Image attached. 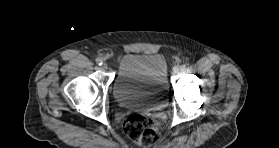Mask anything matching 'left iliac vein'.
Listing matches in <instances>:
<instances>
[{
  "mask_svg": "<svg viewBox=\"0 0 279 148\" xmlns=\"http://www.w3.org/2000/svg\"><path fill=\"white\" fill-rule=\"evenodd\" d=\"M181 72V66L179 65H176L174 68H173V74L177 75Z\"/></svg>",
  "mask_w": 279,
  "mask_h": 148,
  "instance_id": "obj_1",
  "label": "left iliac vein"
}]
</instances>
